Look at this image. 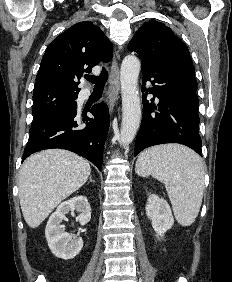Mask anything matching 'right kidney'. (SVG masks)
I'll return each mask as SVG.
<instances>
[{"label": "right kidney", "instance_id": "1", "mask_svg": "<svg viewBox=\"0 0 232 282\" xmlns=\"http://www.w3.org/2000/svg\"><path fill=\"white\" fill-rule=\"evenodd\" d=\"M75 210L79 213L77 216L79 223L82 226L86 225L91 219L90 204L86 197L77 196L64 201L57 207L50 216L45 229L50 250L58 258L64 260L73 259L83 247L82 238L70 235L61 225L65 215Z\"/></svg>", "mask_w": 232, "mask_h": 282}]
</instances>
